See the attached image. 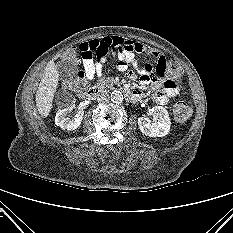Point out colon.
Masks as SVG:
<instances>
[{"mask_svg": "<svg viewBox=\"0 0 233 233\" xmlns=\"http://www.w3.org/2000/svg\"><path fill=\"white\" fill-rule=\"evenodd\" d=\"M157 74L160 76H164L168 74L173 79L171 80V84L173 86L180 87V84L177 79H179L182 74L183 70L179 62L176 60H168L159 63L157 67ZM66 87L73 91L78 96H82L85 93L86 89V81L84 73H79L76 79L69 81L66 83ZM192 110L191 107L184 101H178L175 103L173 107V114L177 121L184 122L189 119L191 116Z\"/></svg>", "mask_w": 233, "mask_h": 233, "instance_id": "obj_1", "label": "colon"}]
</instances>
